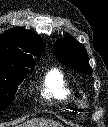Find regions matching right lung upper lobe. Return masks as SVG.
<instances>
[{
    "label": "right lung upper lobe",
    "instance_id": "right-lung-upper-lobe-1",
    "mask_svg": "<svg viewBox=\"0 0 108 127\" xmlns=\"http://www.w3.org/2000/svg\"><path fill=\"white\" fill-rule=\"evenodd\" d=\"M41 38L29 30L12 28L0 35V60H11L33 66V56L42 53Z\"/></svg>",
    "mask_w": 108,
    "mask_h": 127
}]
</instances>
